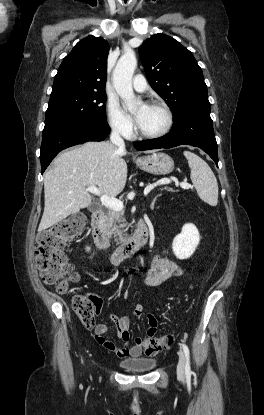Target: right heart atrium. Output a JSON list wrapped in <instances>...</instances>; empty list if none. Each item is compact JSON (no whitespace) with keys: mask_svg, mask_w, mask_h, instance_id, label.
I'll list each match as a JSON object with an SVG mask.
<instances>
[{"mask_svg":"<svg viewBox=\"0 0 264 415\" xmlns=\"http://www.w3.org/2000/svg\"><path fill=\"white\" fill-rule=\"evenodd\" d=\"M107 115L109 125L114 132L123 137H131L133 135L134 124L132 119L114 98H109L107 101Z\"/></svg>","mask_w":264,"mask_h":415,"instance_id":"d8ad5b80","label":"right heart atrium"}]
</instances>
